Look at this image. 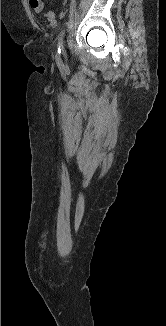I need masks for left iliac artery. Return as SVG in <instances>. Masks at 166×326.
I'll use <instances>...</instances> for the list:
<instances>
[{
	"instance_id": "left-iliac-artery-1",
	"label": "left iliac artery",
	"mask_w": 166,
	"mask_h": 326,
	"mask_svg": "<svg viewBox=\"0 0 166 326\" xmlns=\"http://www.w3.org/2000/svg\"><path fill=\"white\" fill-rule=\"evenodd\" d=\"M65 35V30H62L61 33L59 34V42H58V53H61V49L63 47V39Z\"/></svg>"
}]
</instances>
